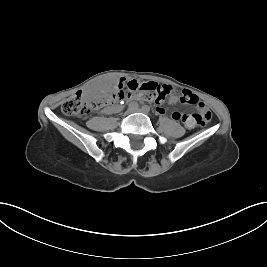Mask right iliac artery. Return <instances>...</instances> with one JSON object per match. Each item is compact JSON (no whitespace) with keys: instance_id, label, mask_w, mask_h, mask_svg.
Here are the masks:
<instances>
[{"instance_id":"1","label":"right iliac artery","mask_w":267,"mask_h":267,"mask_svg":"<svg viewBox=\"0 0 267 267\" xmlns=\"http://www.w3.org/2000/svg\"><path fill=\"white\" fill-rule=\"evenodd\" d=\"M138 108V103H136V102H132V103H130L129 104V109H137Z\"/></svg>"}]
</instances>
